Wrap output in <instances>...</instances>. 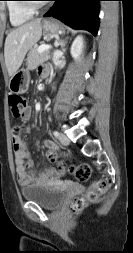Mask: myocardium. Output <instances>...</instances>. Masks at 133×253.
<instances>
[{
    "instance_id": "myocardium-1",
    "label": "myocardium",
    "mask_w": 133,
    "mask_h": 253,
    "mask_svg": "<svg viewBox=\"0 0 133 253\" xmlns=\"http://www.w3.org/2000/svg\"><path fill=\"white\" fill-rule=\"evenodd\" d=\"M23 5L26 9L33 11V12L39 10L43 6V4H41V3H33V2H25V3H23Z\"/></svg>"
}]
</instances>
